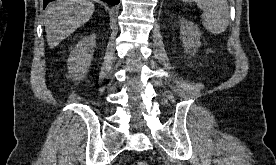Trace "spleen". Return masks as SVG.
<instances>
[{
  "label": "spleen",
  "mask_w": 276,
  "mask_h": 165,
  "mask_svg": "<svg viewBox=\"0 0 276 165\" xmlns=\"http://www.w3.org/2000/svg\"><path fill=\"white\" fill-rule=\"evenodd\" d=\"M194 1L203 10L202 19L206 30L213 34L224 32L229 25V7L227 0H182Z\"/></svg>",
  "instance_id": "obj_1"
}]
</instances>
